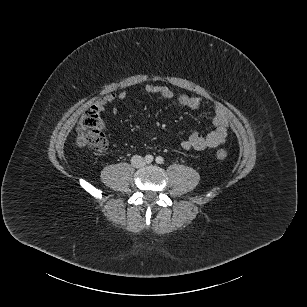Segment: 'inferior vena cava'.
Returning a JSON list of instances; mask_svg holds the SVG:
<instances>
[{
  "instance_id": "602c4592",
  "label": "inferior vena cava",
  "mask_w": 307,
  "mask_h": 307,
  "mask_svg": "<svg viewBox=\"0 0 307 307\" xmlns=\"http://www.w3.org/2000/svg\"><path fill=\"white\" fill-rule=\"evenodd\" d=\"M131 165L135 168H140L145 165V162L142 157L136 155L131 158Z\"/></svg>"
}]
</instances>
